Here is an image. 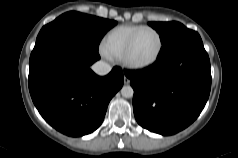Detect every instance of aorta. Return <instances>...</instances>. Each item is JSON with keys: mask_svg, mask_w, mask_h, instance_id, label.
<instances>
[{"mask_svg": "<svg viewBox=\"0 0 238 158\" xmlns=\"http://www.w3.org/2000/svg\"><path fill=\"white\" fill-rule=\"evenodd\" d=\"M133 88L131 86H123L121 89V94L125 98H131L133 97Z\"/></svg>", "mask_w": 238, "mask_h": 158, "instance_id": "aorta-1", "label": "aorta"}]
</instances>
